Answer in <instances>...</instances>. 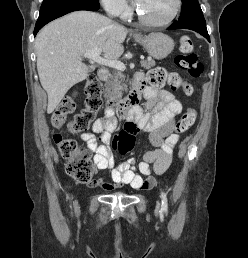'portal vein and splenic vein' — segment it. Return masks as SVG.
Masks as SVG:
<instances>
[{
	"label": "portal vein and splenic vein",
	"mask_w": 248,
	"mask_h": 258,
	"mask_svg": "<svg viewBox=\"0 0 248 258\" xmlns=\"http://www.w3.org/2000/svg\"><path fill=\"white\" fill-rule=\"evenodd\" d=\"M100 49H94L91 51H88L87 53L84 54V57L89 58L95 62H97L98 64L104 65V66H108L120 71H124L125 70V65L123 62L119 61V60H112V59H104L102 57H100ZM141 59L143 60L144 58L141 57Z\"/></svg>",
	"instance_id": "obj_1"
}]
</instances>
